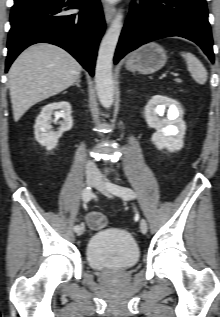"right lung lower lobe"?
Here are the masks:
<instances>
[{
    "label": "right lung lower lobe",
    "instance_id": "obj_1",
    "mask_svg": "<svg viewBox=\"0 0 220 317\" xmlns=\"http://www.w3.org/2000/svg\"><path fill=\"white\" fill-rule=\"evenodd\" d=\"M69 9H80L65 14ZM6 71L26 47L47 42L62 47L94 75L95 59L105 22L99 0H17L10 17Z\"/></svg>",
    "mask_w": 220,
    "mask_h": 317
}]
</instances>
